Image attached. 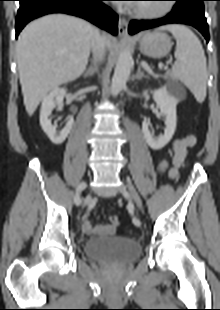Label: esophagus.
<instances>
[{"label": "esophagus", "instance_id": "obj_1", "mask_svg": "<svg viewBox=\"0 0 220 310\" xmlns=\"http://www.w3.org/2000/svg\"><path fill=\"white\" fill-rule=\"evenodd\" d=\"M119 36L128 37V22L125 18L120 17L118 21Z\"/></svg>", "mask_w": 220, "mask_h": 310}]
</instances>
